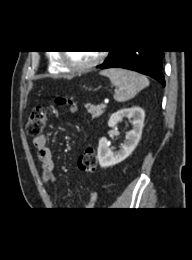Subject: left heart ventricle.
<instances>
[{
    "instance_id": "left-heart-ventricle-1",
    "label": "left heart ventricle",
    "mask_w": 192,
    "mask_h": 260,
    "mask_svg": "<svg viewBox=\"0 0 192 260\" xmlns=\"http://www.w3.org/2000/svg\"><path fill=\"white\" fill-rule=\"evenodd\" d=\"M98 56L93 51H72L67 53L69 61L74 65H85L93 61Z\"/></svg>"
}]
</instances>
